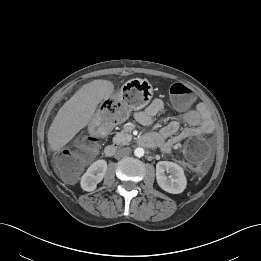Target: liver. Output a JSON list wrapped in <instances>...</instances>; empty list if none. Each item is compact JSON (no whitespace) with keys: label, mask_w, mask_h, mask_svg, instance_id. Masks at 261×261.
Listing matches in <instances>:
<instances>
[{"label":"liver","mask_w":261,"mask_h":261,"mask_svg":"<svg viewBox=\"0 0 261 261\" xmlns=\"http://www.w3.org/2000/svg\"><path fill=\"white\" fill-rule=\"evenodd\" d=\"M114 85L108 80H94L84 84L58 111L48 130V143L59 151L93 118L98 104L109 98Z\"/></svg>","instance_id":"liver-1"}]
</instances>
